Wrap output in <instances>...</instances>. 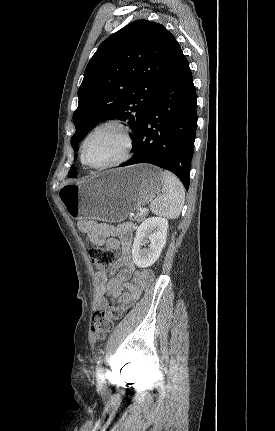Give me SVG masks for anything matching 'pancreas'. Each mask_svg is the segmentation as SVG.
<instances>
[{
    "instance_id": "1",
    "label": "pancreas",
    "mask_w": 275,
    "mask_h": 431,
    "mask_svg": "<svg viewBox=\"0 0 275 431\" xmlns=\"http://www.w3.org/2000/svg\"><path fill=\"white\" fill-rule=\"evenodd\" d=\"M145 216H146V213H144V214H137V215H135L133 218H131L133 221H137V222H141V221H143L144 220V218H145Z\"/></svg>"
}]
</instances>
